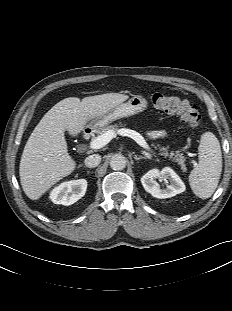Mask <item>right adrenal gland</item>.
Returning a JSON list of instances; mask_svg holds the SVG:
<instances>
[{"label":"right adrenal gland","instance_id":"2a0ac1e0","mask_svg":"<svg viewBox=\"0 0 232 311\" xmlns=\"http://www.w3.org/2000/svg\"><path fill=\"white\" fill-rule=\"evenodd\" d=\"M79 167H84V168H86V166H84L83 164L79 165ZM87 170H88V169H87Z\"/></svg>","mask_w":232,"mask_h":311}]
</instances>
